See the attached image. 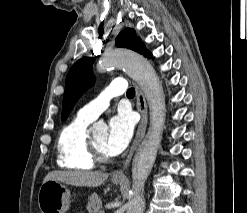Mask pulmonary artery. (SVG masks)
<instances>
[{"label":"pulmonary artery","mask_w":247,"mask_h":213,"mask_svg":"<svg viewBox=\"0 0 247 213\" xmlns=\"http://www.w3.org/2000/svg\"><path fill=\"white\" fill-rule=\"evenodd\" d=\"M127 89L126 82L123 78H116L114 81L103 89L101 94L89 104L81 108L78 117L87 121L95 120L102 112H104L109 104L110 99L123 94Z\"/></svg>","instance_id":"obj_1"}]
</instances>
